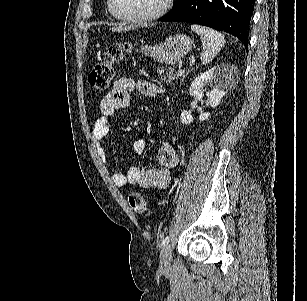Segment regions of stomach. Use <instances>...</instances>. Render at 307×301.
<instances>
[{"instance_id": "1", "label": "stomach", "mask_w": 307, "mask_h": 301, "mask_svg": "<svg viewBox=\"0 0 307 301\" xmlns=\"http://www.w3.org/2000/svg\"><path fill=\"white\" fill-rule=\"evenodd\" d=\"M192 46L193 40L187 34H173V36L165 38L164 42L141 44L139 50L157 62L175 64L176 60H180L184 54H187Z\"/></svg>"}]
</instances>
